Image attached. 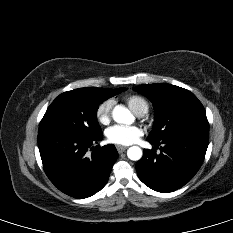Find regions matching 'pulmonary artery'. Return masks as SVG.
<instances>
[{"label":"pulmonary artery","instance_id":"obj_1","mask_svg":"<svg viewBox=\"0 0 233 233\" xmlns=\"http://www.w3.org/2000/svg\"><path fill=\"white\" fill-rule=\"evenodd\" d=\"M145 113H146V111H140V112H138L136 115L139 116V117H141V116H143Z\"/></svg>","mask_w":233,"mask_h":233}]
</instances>
